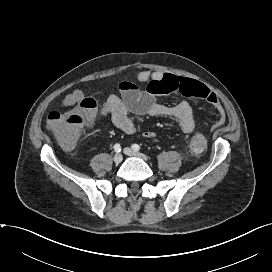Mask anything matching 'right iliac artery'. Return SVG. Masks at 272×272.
<instances>
[{"label": "right iliac artery", "instance_id": "right-iliac-artery-1", "mask_svg": "<svg viewBox=\"0 0 272 272\" xmlns=\"http://www.w3.org/2000/svg\"><path fill=\"white\" fill-rule=\"evenodd\" d=\"M114 150H115V152L119 153V152L121 151V146H120V144H115V145H114Z\"/></svg>", "mask_w": 272, "mask_h": 272}]
</instances>
